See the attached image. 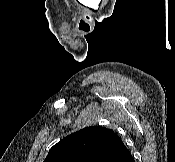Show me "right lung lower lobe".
<instances>
[{
	"mask_svg": "<svg viewBox=\"0 0 175 162\" xmlns=\"http://www.w3.org/2000/svg\"><path fill=\"white\" fill-rule=\"evenodd\" d=\"M116 162H135L133 156L131 155V153H127L124 156H122L121 158H119Z\"/></svg>",
	"mask_w": 175,
	"mask_h": 162,
	"instance_id": "1",
	"label": "right lung lower lobe"
}]
</instances>
